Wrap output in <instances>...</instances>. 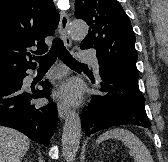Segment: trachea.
<instances>
[{"mask_svg": "<svg viewBox=\"0 0 168 162\" xmlns=\"http://www.w3.org/2000/svg\"><path fill=\"white\" fill-rule=\"evenodd\" d=\"M58 56L70 68L87 67L86 64L80 63L72 57L65 48L63 41L59 38L53 41L52 47L47 54L35 56L34 59L39 63L40 67H51Z\"/></svg>", "mask_w": 168, "mask_h": 162, "instance_id": "3493384b", "label": "trachea"}]
</instances>
